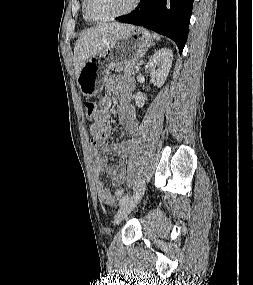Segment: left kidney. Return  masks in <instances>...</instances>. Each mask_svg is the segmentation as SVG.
Returning a JSON list of instances; mask_svg holds the SVG:
<instances>
[{
    "label": "left kidney",
    "instance_id": "1",
    "mask_svg": "<svg viewBox=\"0 0 253 285\" xmlns=\"http://www.w3.org/2000/svg\"><path fill=\"white\" fill-rule=\"evenodd\" d=\"M173 53L168 48H163L154 53L147 63L145 70L150 73V76L156 80L157 87H161L171 68ZM145 96L138 92L135 96L136 105L141 108L145 104Z\"/></svg>",
    "mask_w": 253,
    "mask_h": 285
}]
</instances>
